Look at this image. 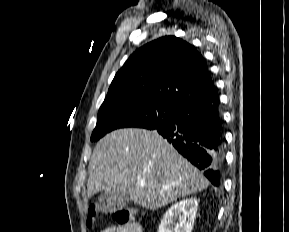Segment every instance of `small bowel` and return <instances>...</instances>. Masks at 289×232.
Here are the masks:
<instances>
[{
    "label": "small bowel",
    "instance_id": "c3829d8e",
    "mask_svg": "<svg viewBox=\"0 0 289 232\" xmlns=\"http://www.w3.org/2000/svg\"><path fill=\"white\" fill-rule=\"evenodd\" d=\"M101 232H143V227L138 222H130L124 226H110L104 228Z\"/></svg>",
    "mask_w": 289,
    "mask_h": 232
}]
</instances>
